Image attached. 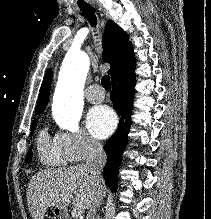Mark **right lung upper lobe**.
<instances>
[{
  "label": "right lung upper lobe",
  "instance_id": "right-lung-upper-lobe-1",
  "mask_svg": "<svg viewBox=\"0 0 211 219\" xmlns=\"http://www.w3.org/2000/svg\"><path fill=\"white\" fill-rule=\"evenodd\" d=\"M103 60L111 64L108 74L111 80L119 73L136 64L132 44L128 42V35L112 20L105 26L103 35ZM52 71L48 70L44 76L39 100L35 113H41L47 105L52 82Z\"/></svg>",
  "mask_w": 211,
  "mask_h": 219
}]
</instances>
